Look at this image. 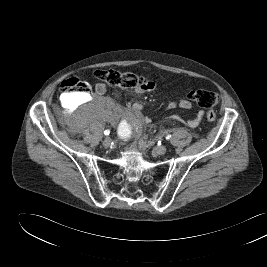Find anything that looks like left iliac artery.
<instances>
[{
	"label": "left iliac artery",
	"mask_w": 267,
	"mask_h": 267,
	"mask_svg": "<svg viewBox=\"0 0 267 267\" xmlns=\"http://www.w3.org/2000/svg\"><path fill=\"white\" fill-rule=\"evenodd\" d=\"M166 139L167 140L171 139V135L170 134L166 135Z\"/></svg>",
	"instance_id": "44dca946"
}]
</instances>
